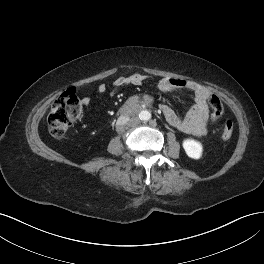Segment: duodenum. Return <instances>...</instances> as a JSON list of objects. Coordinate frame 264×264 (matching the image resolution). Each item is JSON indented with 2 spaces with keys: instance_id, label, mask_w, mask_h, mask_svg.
Listing matches in <instances>:
<instances>
[{
  "instance_id": "duodenum-1",
  "label": "duodenum",
  "mask_w": 264,
  "mask_h": 264,
  "mask_svg": "<svg viewBox=\"0 0 264 264\" xmlns=\"http://www.w3.org/2000/svg\"><path fill=\"white\" fill-rule=\"evenodd\" d=\"M150 106L151 105V99L149 97H144L142 101L139 103V107L142 108V106ZM130 115V109H125L122 112V116L125 117V119Z\"/></svg>"
}]
</instances>
